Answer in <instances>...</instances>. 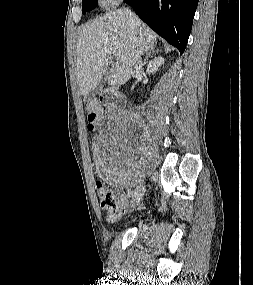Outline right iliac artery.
Returning <instances> with one entry per match:
<instances>
[{"mask_svg": "<svg viewBox=\"0 0 253 285\" xmlns=\"http://www.w3.org/2000/svg\"><path fill=\"white\" fill-rule=\"evenodd\" d=\"M132 195H133V191H132V190H129L127 196H128V197H131Z\"/></svg>", "mask_w": 253, "mask_h": 285, "instance_id": "obj_1", "label": "right iliac artery"}]
</instances>
